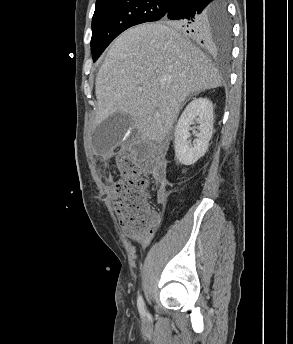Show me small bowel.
Wrapping results in <instances>:
<instances>
[{"label":"small bowel","mask_w":293,"mask_h":344,"mask_svg":"<svg viewBox=\"0 0 293 344\" xmlns=\"http://www.w3.org/2000/svg\"><path fill=\"white\" fill-rule=\"evenodd\" d=\"M165 201V191L164 188L161 187L158 191V203L159 204H163ZM152 238L150 236H146V237H140L137 242L140 245V247L142 249L146 248L149 246V244L151 243Z\"/></svg>","instance_id":"1"}]
</instances>
